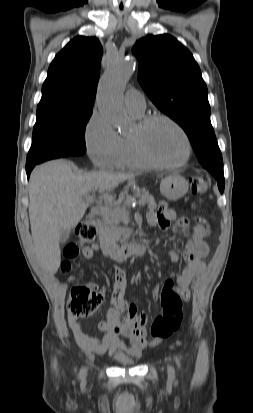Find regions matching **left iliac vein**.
Instances as JSON below:
<instances>
[{
    "label": "left iliac vein",
    "mask_w": 253,
    "mask_h": 413,
    "mask_svg": "<svg viewBox=\"0 0 253 413\" xmlns=\"http://www.w3.org/2000/svg\"><path fill=\"white\" fill-rule=\"evenodd\" d=\"M167 371H168V374H169V376H173L174 375V369H173V367L172 366H168L167 367Z\"/></svg>",
    "instance_id": "1"
}]
</instances>
